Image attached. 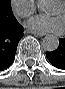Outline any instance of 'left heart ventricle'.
<instances>
[{"instance_id": "obj_1", "label": "left heart ventricle", "mask_w": 65, "mask_h": 89, "mask_svg": "<svg viewBox=\"0 0 65 89\" xmlns=\"http://www.w3.org/2000/svg\"><path fill=\"white\" fill-rule=\"evenodd\" d=\"M48 12L52 15L60 16L65 21V8L62 4L56 3L52 5Z\"/></svg>"}]
</instances>
